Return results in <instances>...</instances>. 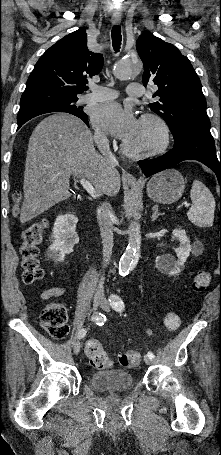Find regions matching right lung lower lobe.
Instances as JSON below:
<instances>
[{"mask_svg":"<svg viewBox=\"0 0 221 455\" xmlns=\"http://www.w3.org/2000/svg\"><path fill=\"white\" fill-rule=\"evenodd\" d=\"M38 115H40V114H32V115L25 116V117L19 119V120H18V129H19L25 122H27V121L30 120L31 118L36 117V116H38ZM85 123L88 125V120H87V122H85ZM88 126H89V125H88Z\"/></svg>","mask_w":221,"mask_h":455,"instance_id":"1","label":"right lung lower lobe"}]
</instances>
